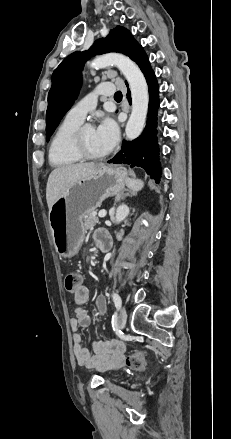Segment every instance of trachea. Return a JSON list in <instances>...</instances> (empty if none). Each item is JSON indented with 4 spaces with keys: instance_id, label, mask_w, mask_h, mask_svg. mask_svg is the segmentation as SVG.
Returning a JSON list of instances; mask_svg holds the SVG:
<instances>
[{
    "instance_id": "obj_1",
    "label": "trachea",
    "mask_w": 231,
    "mask_h": 439,
    "mask_svg": "<svg viewBox=\"0 0 231 439\" xmlns=\"http://www.w3.org/2000/svg\"><path fill=\"white\" fill-rule=\"evenodd\" d=\"M114 99L115 100H120L122 99V92L121 91H117L114 95Z\"/></svg>"
}]
</instances>
